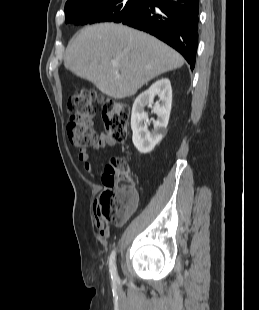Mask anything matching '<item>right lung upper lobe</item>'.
I'll return each instance as SVG.
<instances>
[{
	"label": "right lung upper lobe",
	"mask_w": 259,
	"mask_h": 310,
	"mask_svg": "<svg viewBox=\"0 0 259 310\" xmlns=\"http://www.w3.org/2000/svg\"><path fill=\"white\" fill-rule=\"evenodd\" d=\"M101 0H68L65 4V8H69V7H76V6H82V5H86V4H91L94 2H98Z\"/></svg>",
	"instance_id": "1"
}]
</instances>
